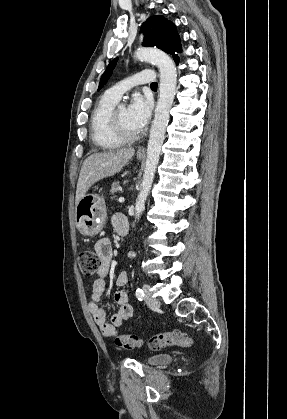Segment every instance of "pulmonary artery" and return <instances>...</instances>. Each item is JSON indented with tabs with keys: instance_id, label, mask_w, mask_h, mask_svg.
<instances>
[{
	"instance_id": "e3ab8cb5",
	"label": "pulmonary artery",
	"mask_w": 287,
	"mask_h": 419,
	"mask_svg": "<svg viewBox=\"0 0 287 419\" xmlns=\"http://www.w3.org/2000/svg\"><path fill=\"white\" fill-rule=\"evenodd\" d=\"M156 80V76L153 71L151 70H143L138 73H135L126 79L118 82L111 88L107 90V94L114 98L115 100H119L122 94L132 88L133 86L139 84H146V83H154Z\"/></svg>"
}]
</instances>
